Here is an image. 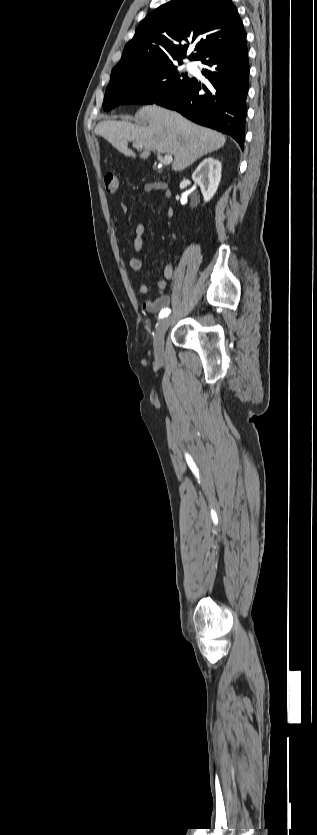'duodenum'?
<instances>
[{
  "mask_svg": "<svg viewBox=\"0 0 317 835\" xmlns=\"http://www.w3.org/2000/svg\"><path fill=\"white\" fill-rule=\"evenodd\" d=\"M156 186H157V188H158L159 190H161V191H162V193H163L164 197H166V198H169V197H170V190H169V188H168V186H167V184H166V183H164V182H157V183H156Z\"/></svg>",
  "mask_w": 317,
  "mask_h": 835,
  "instance_id": "obj_1",
  "label": "duodenum"
}]
</instances>
